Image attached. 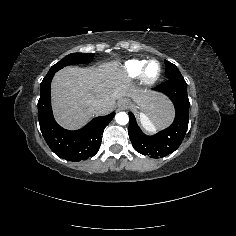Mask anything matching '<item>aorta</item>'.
<instances>
[{"instance_id":"obj_1","label":"aorta","mask_w":236,"mask_h":236,"mask_svg":"<svg viewBox=\"0 0 236 236\" xmlns=\"http://www.w3.org/2000/svg\"><path fill=\"white\" fill-rule=\"evenodd\" d=\"M115 121L120 125H125L129 121L128 114L126 112H118L115 115Z\"/></svg>"}]
</instances>
